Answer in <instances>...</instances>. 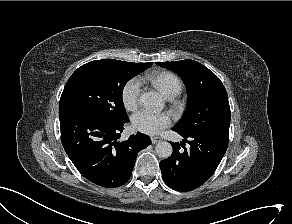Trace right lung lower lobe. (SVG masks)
Masks as SVG:
<instances>
[{
    "mask_svg": "<svg viewBox=\"0 0 292 224\" xmlns=\"http://www.w3.org/2000/svg\"><path fill=\"white\" fill-rule=\"evenodd\" d=\"M61 141L72 163L89 181L106 188L124 185L131 177L139 151L151 144L140 132L118 142L129 118L108 123L80 109L59 110Z\"/></svg>",
    "mask_w": 292,
    "mask_h": 224,
    "instance_id": "98d812e1",
    "label": "right lung lower lobe"
}]
</instances>
